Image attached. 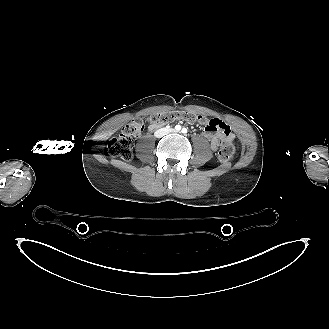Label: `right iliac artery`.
<instances>
[{"instance_id":"right-iliac-artery-1","label":"right iliac artery","mask_w":329,"mask_h":329,"mask_svg":"<svg viewBox=\"0 0 329 329\" xmlns=\"http://www.w3.org/2000/svg\"><path fill=\"white\" fill-rule=\"evenodd\" d=\"M175 129H176L177 131H180V130H181V126H180V125H176V126H175Z\"/></svg>"}]
</instances>
